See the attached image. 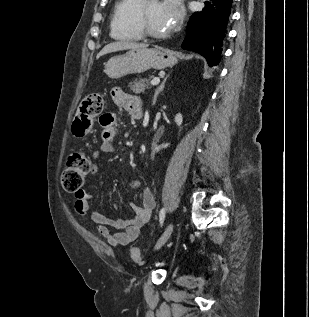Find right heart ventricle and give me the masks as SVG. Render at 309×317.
<instances>
[{"mask_svg":"<svg viewBox=\"0 0 309 317\" xmlns=\"http://www.w3.org/2000/svg\"><path fill=\"white\" fill-rule=\"evenodd\" d=\"M143 0H119L111 18V35L118 40L137 41L143 38L138 25V12Z\"/></svg>","mask_w":309,"mask_h":317,"instance_id":"1","label":"right heart ventricle"}]
</instances>
